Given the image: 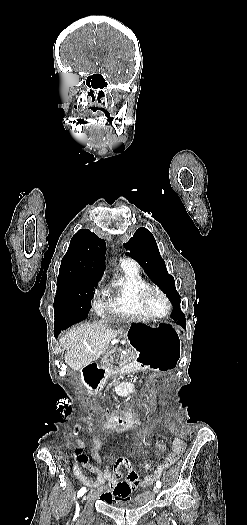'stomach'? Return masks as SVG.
<instances>
[{
    "label": "stomach",
    "mask_w": 247,
    "mask_h": 525,
    "mask_svg": "<svg viewBox=\"0 0 247 525\" xmlns=\"http://www.w3.org/2000/svg\"><path fill=\"white\" fill-rule=\"evenodd\" d=\"M127 338L139 351L137 360L143 369L171 371L177 367L184 341V333L179 327L133 323Z\"/></svg>",
    "instance_id": "0dacf381"
}]
</instances>
